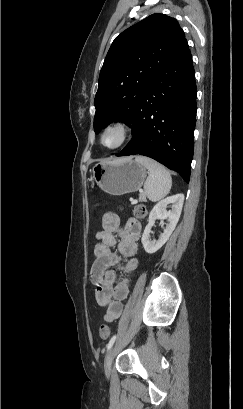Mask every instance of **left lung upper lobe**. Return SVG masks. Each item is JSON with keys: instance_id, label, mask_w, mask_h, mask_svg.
<instances>
[{"instance_id": "1", "label": "left lung upper lobe", "mask_w": 243, "mask_h": 409, "mask_svg": "<svg viewBox=\"0 0 243 409\" xmlns=\"http://www.w3.org/2000/svg\"><path fill=\"white\" fill-rule=\"evenodd\" d=\"M185 40L176 19L152 14L119 34L102 66L94 99V131L111 122L129 127L152 80Z\"/></svg>"}]
</instances>
